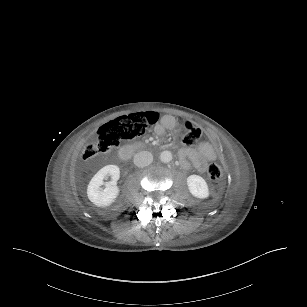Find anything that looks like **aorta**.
Masks as SVG:
<instances>
[{
	"mask_svg": "<svg viewBox=\"0 0 307 307\" xmlns=\"http://www.w3.org/2000/svg\"><path fill=\"white\" fill-rule=\"evenodd\" d=\"M172 153L170 151H162L159 155V159L162 163H169L172 161Z\"/></svg>",
	"mask_w": 307,
	"mask_h": 307,
	"instance_id": "obj_1",
	"label": "aorta"
}]
</instances>
